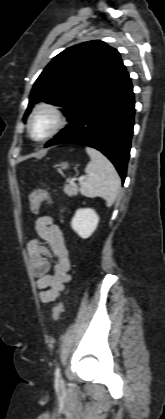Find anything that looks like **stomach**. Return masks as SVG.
Returning <instances> with one entry per match:
<instances>
[{"label":"stomach","mask_w":165,"mask_h":419,"mask_svg":"<svg viewBox=\"0 0 165 419\" xmlns=\"http://www.w3.org/2000/svg\"><path fill=\"white\" fill-rule=\"evenodd\" d=\"M63 169H67L68 168V163H61L60 165Z\"/></svg>","instance_id":"0dacf381"}]
</instances>
